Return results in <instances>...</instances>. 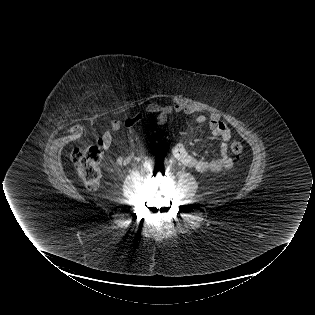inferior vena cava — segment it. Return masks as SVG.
Listing matches in <instances>:
<instances>
[{"instance_id":"inferior-vena-cava-1","label":"inferior vena cava","mask_w":315,"mask_h":315,"mask_svg":"<svg viewBox=\"0 0 315 315\" xmlns=\"http://www.w3.org/2000/svg\"><path fill=\"white\" fill-rule=\"evenodd\" d=\"M152 165H153V162L150 161V162H148V165H146L145 167L149 168V167H152Z\"/></svg>"}]
</instances>
